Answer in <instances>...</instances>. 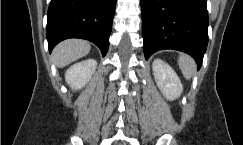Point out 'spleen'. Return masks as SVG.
Here are the masks:
<instances>
[{
    "label": "spleen",
    "mask_w": 243,
    "mask_h": 145,
    "mask_svg": "<svg viewBox=\"0 0 243 145\" xmlns=\"http://www.w3.org/2000/svg\"><path fill=\"white\" fill-rule=\"evenodd\" d=\"M178 65L187 80L191 79L196 72V64L188 55L181 54L178 59Z\"/></svg>",
    "instance_id": "1"
}]
</instances>
